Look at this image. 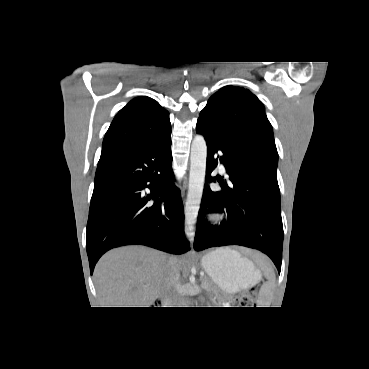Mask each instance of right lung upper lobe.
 I'll return each instance as SVG.
<instances>
[{
	"instance_id": "obj_1",
	"label": "right lung upper lobe",
	"mask_w": 369,
	"mask_h": 369,
	"mask_svg": "<svg viewBox=\"0 0 369 369\" xmlns=\"http://www.w3.org/2000/svg\"><path fill=\"white\" fill-rule=\"evenodd\" d=\"M171 132L169 113L149 97L131 100L115 116L102 144L99 162L120 152L164 138Z\"/></svg>"
}]
</instances>
